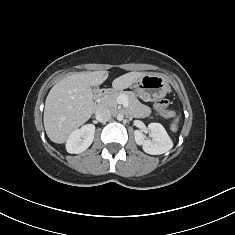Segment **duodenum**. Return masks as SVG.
Here are the masks:
<instances>
[{
    "mask_svg": "<svg viewBox=\"0 0 235 235\" xmlns=\"http://www.w3.org/2000/svg\"><path fill=\"white\" fill-rule=\"evenodd\" d=\"M111 91L109 89H99L97 92H96V95H95V98L96 99H100L101 97H103L104 95H107L109 94Z\"/></svg>",
    "mask_w": 235,
    "mask_h": 235,
    "instance_id": "obj_1",
    "label": "duodenum"
}]
</instances>
